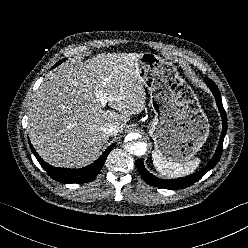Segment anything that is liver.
I'll use <instances>...</instances> for the list:
<instances>
[{
    "instance_id": "obj_1",
    "label": "liver",
    "mask_w": 248,
    "mask_h": 248,
    "mask_svg": "<svg viewBox=\"0 0 248 248\" xmlns=\"http://www.w3.org/2000/svg\"><path fill=\"white\" fill-rule=\"evenodd\" d=\"M138 53H102L50 73L29 110L28 133L38 154L58 167L91 163L109 139L101 127L122 132L130 116L144 110L146 92ZM101 94L115 110H104Z\"/></svg>"
}]
</instances>
